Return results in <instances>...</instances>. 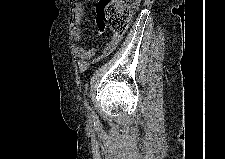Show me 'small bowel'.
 <instances>
[{
    "mask_svg": "<svg viewBox=\"0 0 225 159\" xmlns=\"http://www.w3.org/2000/svg\"><path fill=\"white\" fill-rule=\"evenodd\" d=\"M84 12H85L84 4L82 2L75 3L74 6L72 7L70 20H69L70 33L73 38L72 50L75 57L77 58V65L81 72H85L89 68L90 61L92 59L97 60L111 53L121 40V38L111 36L110 41L106 45L103 52L96 58H95L97 53L96 48L85 49L81 46H78L77 43L82 40V33L79 27V24L83 18ZM98 26L100 30V35H102L103 32L105 31V28L100 26L99 22H98Z\"/></svg>",
    "mask_w": 225,
    "mask_h": 159,
    "instance_id": "c3829d8e",
    "label": "small bowel"
}]
</instances>
